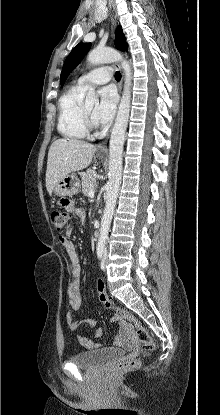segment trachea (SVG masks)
I'll return each instance as SVG.
<instances>
[{"instance_id": "trachea-1", "label": "trachea", "mask_w": 220, "mask_h": 415, "mask_svg": "<svg viewBox=\"0 0 220 415\" xmlns=\"http://www.w3.org/2000/svg\"><path fill=\"white\" fill-rule=\"evenodd\" d=\"M115 79H116L117 81H120V80H121V73H120L119 71H117V72L115 73Z\"/></svg>"}]
</instances>
